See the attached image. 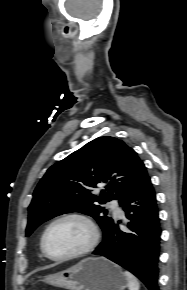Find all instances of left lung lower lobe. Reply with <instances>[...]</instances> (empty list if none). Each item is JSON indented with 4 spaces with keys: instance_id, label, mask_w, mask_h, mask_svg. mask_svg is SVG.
Returning a JSON list of instances; mask_svg holds the SVG:
<instances>
[{
    "instance_id": "0a47b994",
    "label": "left lung lower lobe",
    "mask_w": 187,
    "mask_h": 290,
    "mask_svg": "<svg viewBox=\"0 0 187 290\" xmlns=\"http://www.w3.org/2000/svg\"><path fill=\"white\" fill-rule=\"evenodd\" d=\"M119 203L128 219V230H120L121 221L114 220L93 254L104 256L124 267L149 290H159L161 228L150 177H143Z\"/></svg>"
}]
</instances>
